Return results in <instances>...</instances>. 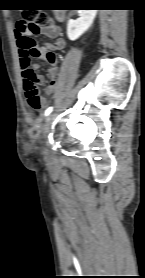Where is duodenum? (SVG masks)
Returning a JSON list of instances; mask_svg holds the SVG:
<instances>
[{
    "label": "duodenum",
    "mask_w": 145,
    "mask_h": 278,
    "mask_svg": "<svg viewBox=\"0 0 145 278\" xmlns=\"http://www.w3.org/2000/svg\"><path fill=\"white\" fill-rule=\"evenodd\" d=\"M57 19H58V20H62V19H63V15H62V14H59V15L57 16ZM54 89H55V87H54L53 89H51V90L46 91V94H47V95H51V94L53 93Z\"/></svg>",
    "instance_id": "obj_1"
}]
</instances>
